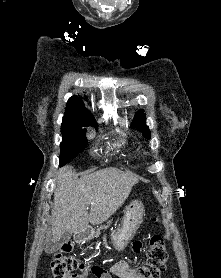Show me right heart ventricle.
Masks as SVG:
<instances>
[{
    "label": "right heart ventricle",
    "instance_id": "obj_1",
    "mask_svg": "<svg viewBox=\"0 0 221 278\" xmlns=\"http://www.w3.org/2000/svg\"><path fill=\"white\" fill-rule=\"evenodd\" d=\"M125 145V142L124 141H121L118 146L121 147V146H124Z\"/></svg>",
    "mask_w": 221,
    "mask_h": 278
}]
</instances>
